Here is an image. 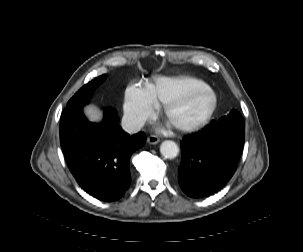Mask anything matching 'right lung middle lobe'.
<instances>
[{
  "label": "right lung middle lobe",
  "instance_id": "right-lung-middle-lobe-1",
  "mask_svg": "<svg viewBox=\"0 0 303 252\" xmlns=\"http://www.w3.org/2000/svg\"><path fill=\"white\" fill-rule=\"evenodd\" d=\"M106 75L95 78L91 82L84 85L68 102L67 106L80 104L88 101L95 89L104 82Z\"/></svg>",
  "mask_w": 303,
  "mask_h": 252
}]
</instances>
